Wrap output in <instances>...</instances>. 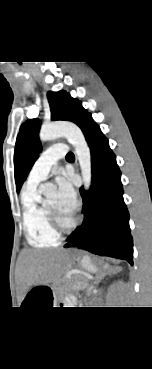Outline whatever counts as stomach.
I'll return each instance as SVG.
<instances>
[{"mask_svg":"<svg viewBox=\"0 0 152 369\" xmlns=\"http://www.w3.org/2000/svg\"><path fill=\"white\" fill-rule=\"evenodd\" d=\"M79 261L82 267L85 268L86 270L90 272H97L98 269L96 268V266L92 264L88 256H83L82 258L79 259ZM105 267H107V265Z\"/></svg>","mask_w":152,"mask_h":369,"instance_id":"stomach-1","label":"stomach"}]
</instances>
